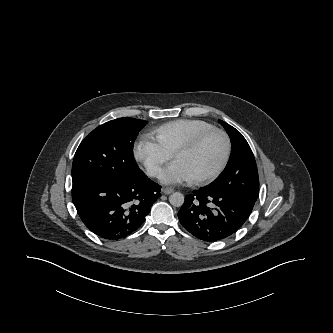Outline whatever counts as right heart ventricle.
<instances>
[{
    "instance_id": "right-heart-ventricle-1",
    "label": "right heart ventricle",
    "mask_w": 333,
    "mask_h": 333,
    "mask_svg": "<svg viewBox=\"0 0 333 333\" xmlns=\"http://www.w3.org/2000/svg\"><path fill=\"white\" fill-rule=\"evenodd\" d=\"M214 125L201 119H176L152 130L157 143L169 154L189 141L195 135L213 128Z\"/></svg>"
}]
</instances>
